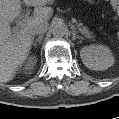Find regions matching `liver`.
I'll return each instance as SVG.
<instances>
[{"mask_svg": "<svg viewBox=\"0 0 119 119\" xmlns=\"http://www.w3.org/2000/svg\"><path fill=\"white\" fill-rule=\"evenodd\" d=\"M27 6H35L29 23L12 35L10 23L20 14V0H0V82L11 81L26 59L34 39L33 28L47 22L52 8L46 7L51 0H23Z\"/></svg>", "mask_w": 119, "mask_h": 119, "instance_id": "6515ba94", "label": "liver"}]
</instances>
